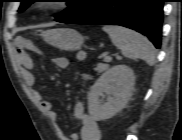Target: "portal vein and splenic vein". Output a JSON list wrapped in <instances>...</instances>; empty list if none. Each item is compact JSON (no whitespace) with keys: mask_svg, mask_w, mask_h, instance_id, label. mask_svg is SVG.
Wrapping results in <instances>:
<instances>
[{"mask_svg":"<svg viewBox=\"0 0 182 140\" xmlns=\"http://www.w3.org/2000/svg\"><path fill=\"white\" fill-rule=\"evenodd\" d=\"M111 60H112L111 56H105L104 57V61H106V62H110Z\"/></svg>","mask_w":182,"mask_h":140,"instance_id":"obj_1","label":"portal vein and splenic vein"}]
</instances>
